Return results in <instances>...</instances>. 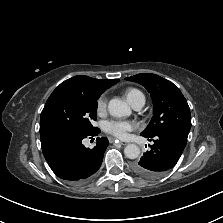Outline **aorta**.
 I'll return each instance as SVG.
<instances>
[{"instance_id":"aorta-1","label":"aorta","mask_w":223,"mask_h":223,"mask_svg":"<svg viewBox=\"0 0 223 223\" xmlns=\"http://www.w3.org/2000/svg\"><path fill=\"white\" fill-rule=\"evenodd\" d=\"M108 111L114 117L131 115V109L128 104L118 98L109 101ZM124 154L129 159H136L140 155V149L136 144H128L124 149Z\"/></svg>"}]
</instances>
